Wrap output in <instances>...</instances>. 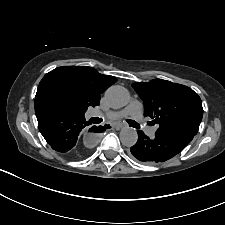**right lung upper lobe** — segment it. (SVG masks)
I'll use <instances>...</instances> for the list:
<instances>
[{
    "label": "right lung upper lobe",
    "instance_id": "obj_1",
    "mask_svg": "<svg viewBox=\"0 0 225 225\" xmlns=\"http://www.w3.org/2000/svg\"><path fill=\"white\" fill-rule=\"evenodd\" d=\"M116 80L88 66L58 67L40 81L35 101H48L52 93H59L85 113L89 106L99 105L100 94Z\"/></svg>",
    "mask_w": 225,
    "mask_h": 225
}]
</instances>
